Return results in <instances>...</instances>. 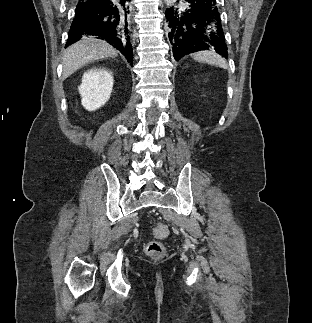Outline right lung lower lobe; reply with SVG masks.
I'll return each instance as SVG.
<instances>
[{
  "label": "right lung lower lobe",
  "instance_id": "98d812e1",
  "mask_svg": "<svg viewBox=\"0 0 312 323\" xmlns=\"http://www.w3.org/2000/svg\"><path fill=\"white\" fill-rule=\"evenodd\" d=\"M132 0H79L66 47L83 35L97 36L133 64L129 15Z\"/></svg>",
  "mask_w": 312,
  "mask_h": 323
}]
</instances>
